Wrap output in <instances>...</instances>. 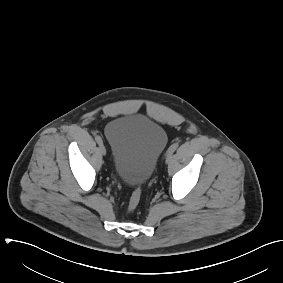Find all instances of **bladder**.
Listing matches in <instances>:
<instances>
[{
  "mask_svg": "<svg viewBox=\"0 0 283 283\" xmlns=\"http://www.w3.org/2000/svg\"><path fill=\"white\" fill-rule=\"evenodd\" d=\"M113 169L126 184L146 183L164 152L168 136L165 129L143 115L116 118L105 128Z\"/></svg>",
  "mask_w": 283,
  "mask_h": 283,
  "instance_id": "obj_1",
  "label": "bladder"
}]
</instances>
